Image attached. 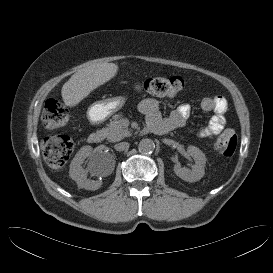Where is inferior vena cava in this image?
Wrapping results in <instances>:
<instances>
[{"label": "inferior vena cava", "instance_id": "obj_1", "mask_svg": "<svg viewBox=\"0 0 273 273\" xmlns=\"http://www.w3.org/2000/svg\"><path fill=\"white\" fill-rule=\"evenodd\" d=\"M114 148L117 150V151H125V150H128L129 148V143L128 142H120V143H117Z\"/></svg>", "mask_w": 273, "mask_h": 273}]
</instances>
